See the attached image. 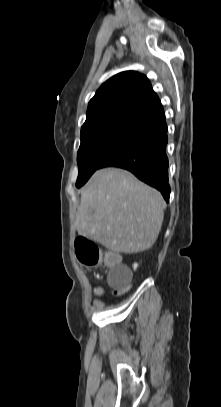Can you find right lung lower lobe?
Segmentation results:
<instances>
[{"label":"right lung lower lobe","mask_w":221,"mask_h":407,"mask_svg":"<svg viewBox=\"0 0 221 407\" xmlns=\"http://www.w3.org/2000/svg\"><path fill=\"white\" fill-rule=\"evenodd\" d=\"M167 125L162 110L143 122L102 163L100 168L119 167L158 189L168 202ZM99 168V169H100Z\"/></svg>","instance_id":"obj_1"}]
</instances>
